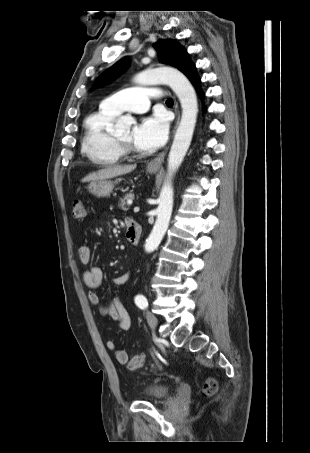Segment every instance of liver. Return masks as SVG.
<instances>
[{"instance_id":"liver-1","label":"liver","mask_w":310,"mask_h":453,"mask_svg":"<svg viewBox=\"0 0 310 453\" xmlns=\"http://www.w3.org/2000/svg\"><path fill=\"white\" fill-rule=\"evenodd\" d=\"M136 168L134 165H125V166H110L98 170L97 172H92L82 179V182H90L97 180H104L109 178H114L116 176L124 175L132 172Z\"/></svg>"}]
</instances>
